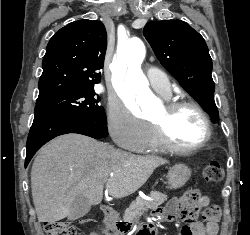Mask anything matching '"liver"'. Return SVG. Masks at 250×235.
Listing matches in <instances>:
<instances>
[{
    "label": "liver",
    "instance_id": "6515ba94",
    "mask_svg": "<svg viewBox=\"0 0 250 235\" xmlns=\"http://www.w3.org/2000/svg\"><path fill=\"white\" fill-rule=\"evenodd\" d=\"M168 161L138 156L85 135L70 133L45 145L31 170V190L39 222L55 223L67 217L77 196L98 205L103 185L114 198L141 188L153 171Z\"/></svg>",
    "mask_w": 250,
    "mask_h": 235
}]
</instances>
